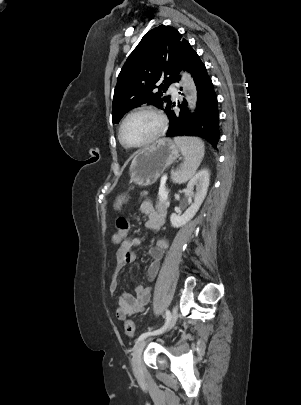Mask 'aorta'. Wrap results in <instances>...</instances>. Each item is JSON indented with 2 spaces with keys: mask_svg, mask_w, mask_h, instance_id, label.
Masks as SVG:
<instances>
[{
  "mask_svg": "<svg viewBox=\"0 0 301 405\" xmlns=\"http://www.w3.org/2000/svg\"><path fill=\"white\" fill-rule=\"evenodd\" d=\"M182 79L185 82L190 94L187 96L188 102L194 107L196 104V88L193 80L187 73H182Z\"/></svg>",
  "mask_w": 301,
  "mask_h": 405,
  "instance_id": "762f6f07",
  "label": "aorta"
}]
</instances>
